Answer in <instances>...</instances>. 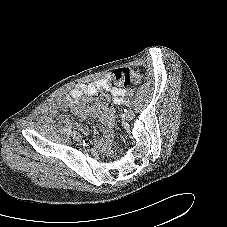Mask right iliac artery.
I'll use <instances>...</instances> for the list:
<instances>
[{"label": "right iliac artery", "mask_w": 227, "mask_h": 227, "mask_svg": "<svg viewBox=\"0 0 227 227\" xmlns=\"http://www.w3.org/2000/svg\"><path fill=\"white\" fill-rule=\"evenodd\" d=\"M65 129H66V131H67V133H68L69 135L72 134V130H71L70 128L65 127Z\"/></svg>", "instance_id": "right-iliac-artery-1"}]
</instances>
